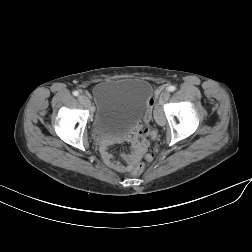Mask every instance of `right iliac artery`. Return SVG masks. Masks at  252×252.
<instances>
[{
    "mask_svg": "<svg viewBox=\"0 0 252 252\" xmlns=\"http://www.w3.org/2000/svg\"><path fill=\"white\" fill-rule=\"evenodd\" d=\"M73 95H74V96H78V95H79V92H78V91H74V92H73Z\"/></svg>",
    "mask_w": 252,
    "mask_h": 252,
    "instance_id": "obj_1",
    "label": "right iliac artery"
}]
</instances>
